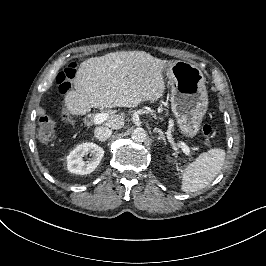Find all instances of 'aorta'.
<instances>
[{
    "instance_id": "762f6f07",
    "label": "aorta",
    "mask_w": 266,
    "mask_h": 266,
    "mask_svg": "<svg viewBox=\"0 0 266 266\" xmlns=\"http://www.w3.org/2000/svg\"><path fill=\"white\" fill-rule=\"evenodd\" d=\"M147 137V132L141 127L135 128L131 133V138L135 142H143Z\"/></svg>"
}]
</instances>
